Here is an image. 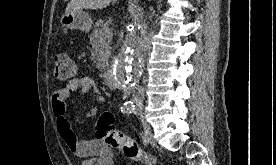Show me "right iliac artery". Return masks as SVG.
<instances>
[{"mask_svg": "<svg viewBox=\"0 0 276 165\" xmlns=\"http://www.w3.org/2000/svg\"><path fill=\"white\" fill-rule=\"evenodd\" d=\"M134 110H135V105L133 104V102H130V101L125 102L121 107V112L127 115L132 113Z\"/></svg>", "mask_w": 276, "mask_h": 165, "instance_id": "right-iliac-artery-1", "label": "right iliac artery"}]
</instances>
